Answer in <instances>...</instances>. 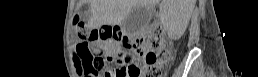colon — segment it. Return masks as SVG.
<instances>
[{"label":"colon","mask_w":258,"mask_h":77,"mask_svg":"<svg viewBox=\"0 0 258 77\" xmlns=\"http://www.w3.org/2000/svg\"><path fill=\"white\" fill-rule=\"evenodd\" d=\"M75 31L80 39L76 47L79 69L87 76H95L105 67L104 55L93 50H110L114 43L126 52L117 55L118 65L108 77H161L162 66L170 60L157 26L151 33L139 36H127L115 27L89 28L80 23L75 24Z\"/></svg>","instance_id":"5ec220e1"}]
</instances>
